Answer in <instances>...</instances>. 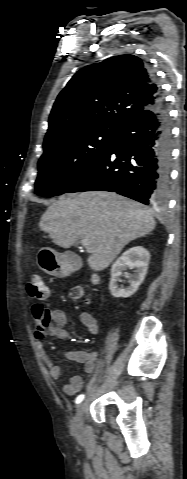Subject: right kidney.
Returning a JSON list of instances; mask_svg holds the SVG:
<instances>
[{"instance_id": "1", "label": "right kidney", "mask_w": 187, "mask_h": 479, "mask_svg": "<svg viewBox=\"0 0 187 479\" xmlns=\"http://www.w3.org/2000/svg\"><path fill=\"white\" fill-rule=\"evenodd\" d=\"M150 254L142 246L132 247L125 251L111 267V279L109 290L113 297L127 298L132 296L142 284L148 270ZM127 269H135L134 274H128L130 286L127 288L119 287L120 276Z\"/></svg>"}]
</instances>
